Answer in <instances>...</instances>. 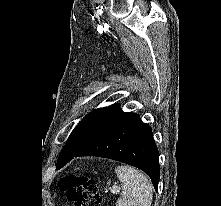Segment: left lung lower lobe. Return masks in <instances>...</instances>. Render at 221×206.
Segmentation results:
<instances>
[{
	"label": "left lung lower lobe",
	"mask_w": 221,
	"mask_h": 206,
	"mask_svg": "<svg viewBox=\"0 0 221 206\" xmlns=\"http://www.w3.org/2000/svg\"><path fill=\"white\" fill-rule=\"evenodd\" d=\"M77 156L104 157L135 166L146 172L158 189V149L151 128L135 113L123 112Z\"/></svg>",
	"instance_id": "1"
}]
</instances>
